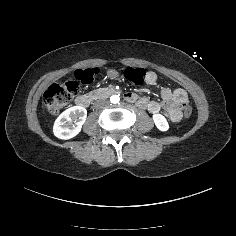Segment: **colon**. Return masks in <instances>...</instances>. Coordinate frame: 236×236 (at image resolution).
I'll list each match as a JSON object with an SVG mask.
<instances>
[{
	"label": "colon",
	"mask_w": 236,
	"mask_h": 236,
	"mask_svg": "<svg viewBox=\"0 0 236 236\" xmlns=\"http://www.w3.org/2000/svg\"><path fill=\"white\" fill-rule=\"evenodd\" d=\"M97 74L96 68L76 70L66 82L52 84L44 94V102L48 112L52 115L61 113L76 95L79 86L92 83ZM146 75L143 68L129 67L125 70V77L136 85L142 84ZM153 80L156 82L157 78L153 77ZM183 107L184 117L189 118L192 114V107L187 102Z\"/></svg>",
	"instance_id": "obj_1"
}]
</instances>
